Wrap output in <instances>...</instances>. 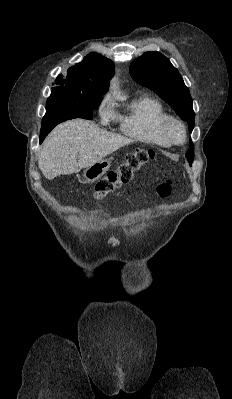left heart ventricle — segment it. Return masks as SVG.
<instances>
[{"label":"left heart ventricle","instance_id":"b2bd125f","mask_svg":"<svg viewBox=\"0 0 232 399\" xmlns=\"http://www.w3.org/2000/svg\"><path fill=\"white\" fill-rule=\"evenodd\" d=\"M172 132L178 139H182L183 134H182V131H181V129L179 127H177L175 125L172 126Z\"/></svg>","mask_w":232,"mask_h":399}]
</instances>
